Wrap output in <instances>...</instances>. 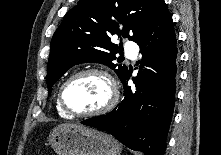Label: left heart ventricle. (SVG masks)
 I'll use <instances>...</instances> for the list:
<instances>
[{
  "label": "left heart ventricle",
  "mask_w": 221,
  "mask_h": 155,
  "mask_svg": "<svg viewBox=\"0 0 221 155\" xmlns=\"http://www.w3.org/2000/svg\"><path fill=\"white\" fill-rule=\"evenodd\" d=\"M108 96L109 88L105 79L99 75L88 74L69 83L64 99L72 111L83 113L102 107Z\"/></svg>",
  "instance_id": "b2bd125f"
}]
</instances>
